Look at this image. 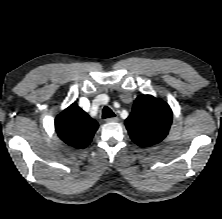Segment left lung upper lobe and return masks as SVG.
<instances>
[{
  "mask_svg": "<svg viewBox=\"0 0 222 219\" xmlns=\"http://www.w3.org/2000/svg\"><path fill=\"white\" fill-rule=\"evenodd\" d=\"M171 122L172 111L166 102L151 95H142L134 101L125 125L136 144L148 147L167 136Z\"/></svg>",
  "mask_w": 222,
  "mask_h": 219,
  "instance_id": "5c2ea615",
  "label": "left lung upper lobe"
}]
</instances>
